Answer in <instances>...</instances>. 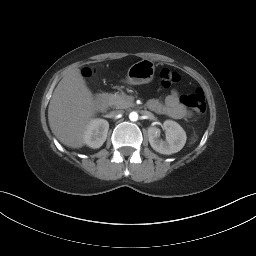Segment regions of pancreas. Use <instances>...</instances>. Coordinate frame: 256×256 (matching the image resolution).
Here are the masks:
<instances>
[{"label": "pancreas", "mask_w": 256, "mask_h": 256, "mask_svg": "<svg viewBox=\"0 0 256 256\" xmlns=\"http://www.w3.org/2000/svg\"><path fill=\"white\" fill-rule=\"evenodd\" d=\"M108 105L116 108L123 109L132 105V100L124 93L105 94Z\"/></svg>", "instance_id": "pancreas-1"}]
</instances>
